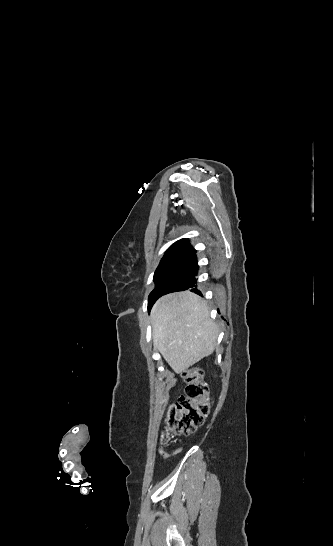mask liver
Instances as JSON below:
<instances>
[{"mask_svg": "<svg viewBox=\"0 0 333 546\" xmlns=\"http://www.w3.org/2000/svg\"><path fill=\"white\" fill-rule=\"evenodd\" d=\"M154 347L169 366L182 373L213 353L219 329L206 302L190 292L165 295L151 310Z\"/></svg>", "mask_w": 333, "mask_h": 546, "instance_id": "6515ba94", "label": "liver"}]
</instances>
